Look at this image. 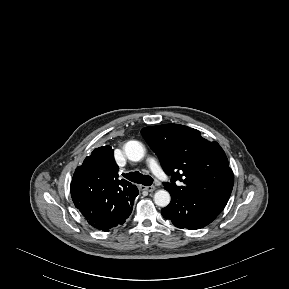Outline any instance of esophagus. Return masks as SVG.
I'll use <instances>...</instances> for the list:
<instances>
[{"label":"esophagus","mask_w":289,"mask_h":289,"mask_svg":"<svg viewBox=\"0 0 289 289\" xmlns=\"http://www.w3.org/2000/svg\"><path fill=\"white\" fill-rule=\"evenodd\" d=\"M141 188L143 189V190H146V191H148V192H153V191H155V186H141Z\"/></svg>","instance_id":"34e87169"}]
</instances>
